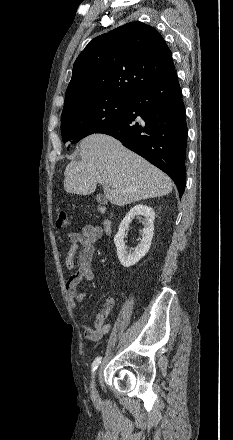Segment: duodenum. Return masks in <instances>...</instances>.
I'll return each instance as SVG.
<instances>
[{"label": "duodenum", "mask_w": 233, "mask_h": 440, "mask_svg": "<svg viewBox=\"0 0 233 440\" xmlns=\"http://www.w3.org/2000/svg\"><path fill=\"white\" fill-rule=\"evenodd\" d=\"M112 222L110 220H106L104 222V230L106 233L111 231Z\"/></svg>", "instance_id": "1"}]
</instances>
